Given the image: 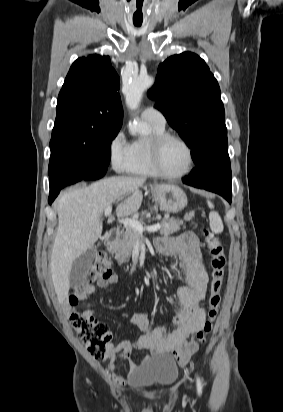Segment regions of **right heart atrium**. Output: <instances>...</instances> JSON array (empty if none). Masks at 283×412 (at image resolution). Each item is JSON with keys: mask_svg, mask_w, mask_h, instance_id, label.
<instances>
[{"mask_svg": "<svg viewBox=\"0 0 283 412\" xmlns=\"http://www.w3.org/2000/svg\"><path fill=\"white\" fill-rule=\"evenodd\" d=\"M129 144L122 130L116 132L109 142V158L116 171H124L128 161Z\"/></svg>", "mask_w": 283, "mask_h": 412, "instance_id": "1", "label": "right heart atrium"}]
</instances>
